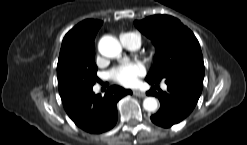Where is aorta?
<instances>
[{"label":"aorta","instance_id":"obj_1","mask_svg":"<svg viewBox=\"0 0 247 145\" xmlns=\"http://www.w3.org/2000/svg\"><path fill=\"white\" fill-rule=\"evenodd\" d=\"M99 52L109 58L119 57L122 52L120 43L112 36H104L100 39L98 45ZM143 108L146 111L153 112L158 108V101L155 97H146L143 101Z\"/></svg>","mask_w":247,"mask_h":145}]
</instances>
